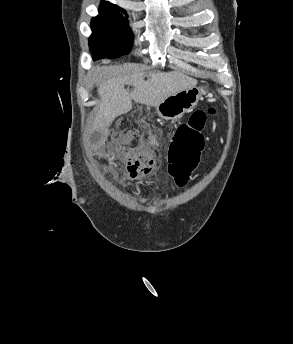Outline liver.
I'll return each instance as SVG.
<instances>
[{
  "instance_id": "obj_1",
  "label": "liver",
  "mask_w": 293,
  "mask_h": 344,
  "mask_svg": "<svg viewBox=\"0 0 293 344\" xmlns=\"http://www.w3.org/2000/svg\"><path fill=\"white\" fill-rule=\"evenodd\" d=\"M125 84L134 87L131 93L125 90ZM196 85V79L178 71L142 72L112 77L103 82L98 89L101 100L95 125L101 130L108 128L115 118L132 109V100L156 107L167 97Z\"/></svg>"
}]
</instances>
